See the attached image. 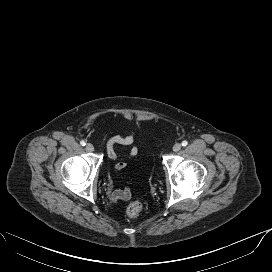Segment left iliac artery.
Masks as SVG:
<instances>
[{"label":"left iliac artery","mask_w":272,"mask_h":272,"mask_svg":"<svg viewBox=\"0 0 272 272\" xmlns=\"http://www.w3.org/2000/svg\"><path fill=\"white\" fill-rule=\"evenodd\" d=\"M188 145V142L186 140L182 141V146H187Z\"/></svg>","instance_id":"left-iliac-artery-1"}]
</instances>
